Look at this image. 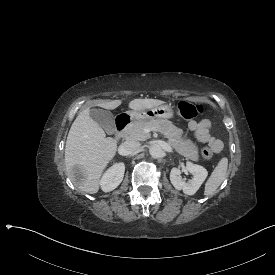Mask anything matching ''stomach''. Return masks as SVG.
Masks as SVG:
<instances>
[{
    "instance_id": "0dacf381",
    "label": "stomach",
    "mask_w": 275,
    "mask_h": 275,
    "mask_svg": "<svg viewBox=\"0 0 275 275\" xmlns=\"http://www.w3.org/2000/svg\"><path fill=\"white\" fill-rule=\"evenodd\" d=\"M133 121L149 122L155 119H168L173 117V110L168 105H159L149 109L127 111Z\"/></svg>"
}]
</instances>
